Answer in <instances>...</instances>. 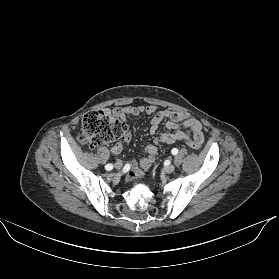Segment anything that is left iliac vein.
Listing matches in <instances>:
<instances>
[{
	"instance_id": "4c4485c4",
	"label": "left iliac vein",
	"mask_w": 279,
	"mask_h": 279,
	"mask_svg": "<svg viewBox=\"0 0 279 279\" xmlns=\"http://www.w3.org/2000/svg\"><path fill=\"white\" fill-rule=\"evenodd\" d=\"M174 170H175V166L173 164H170L164 168V171L168 174L174 172Z\"/></svg>"
}]
</instances>
